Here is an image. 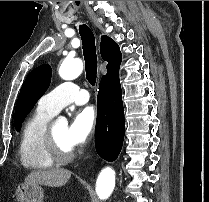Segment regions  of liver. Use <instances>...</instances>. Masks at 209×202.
Masks as SVG:
<instances>
[{
	"instance_id": "obj_1",
	"label": "liver",
	"mask_w": 209,
	"mask_h": 202,
	"mask_svg": "<svg viewBox=\"0 0 209 202\" xmlns=\"http://www.w3.org/2000/svg\"><path fill=\"white\" fill-rule=\"evenodd\" d=\"M71 177V172L67 169H48L34 171L26 176L25 183L39 184L50 187H61L65 185Z\"/></svg>"
}]
</instances>
